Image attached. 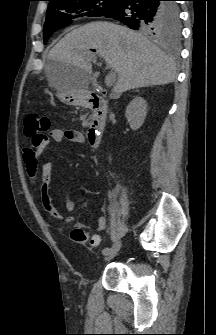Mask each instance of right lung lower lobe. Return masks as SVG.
<instances>
[{"mask_svg": "<svg viewBox=\"0 0 216 335\" xmlns=\"http://www.w3.org/2000/svg\"><path fill=\"white\" fill-rule=\"evenodd\" d=\"M104 17L116 19L131 29L149 30L157 36L179 20V11L170 0H120Z\"/></svg>", "mask_w": 216, "mask_h": 335, "instance_id": "right-lung-lower-lobe-1", "label": "right lung lower lobe"}]
</instances>
